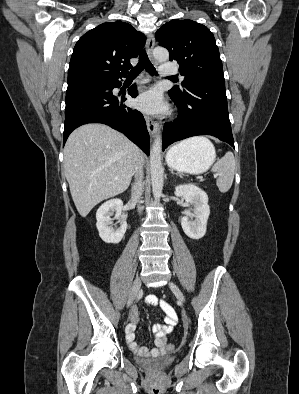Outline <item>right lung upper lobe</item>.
Here are the masks:
<instances>
[{"label": "right lung upper lobe", "instance_id": "right-lung-upper-lobe-1", "mask_svg": "<svg viewBox=\"0 0 299 394\" xmlns=\"http://www.w3.org/2000/svg\"><path fill=\"white\" fill-rule=\"evenodd\" d=\"M146 42L130 24L103 23L84 34L74 47L68 70L72 84L124 77Z\"/></svg>", "mask_w": 299, "mask_h": 394}]
</instances>
